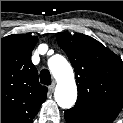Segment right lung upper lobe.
Here are the masks:
<instances>
[{"label": "right lung upper lobe", "mask_w": 123, "mask_h": 123, "mask_svg": "<svg viewBox=\"0 0 123 123\" xmlns=\"http://www.w3.org/2000/svg\"><path fill=\"white\" fill-rule=\"evenodd\" d=\"M38 38L13 34L1 38V123H32L46 100L31 53Z\"/></svg>", "instance_id": "obj_1"}]
</instances>
